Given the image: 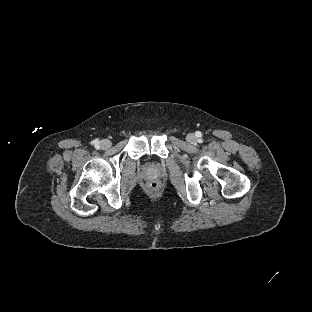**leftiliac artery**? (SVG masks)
<instances>
[{"label":"left iliac artery","instance_id":"44dca946","mask_svg":"<svg viewBox=\"0 0 312 312\" xmlns=\"http://www.w3.org/2000/svg\"><path fill=\"white\" fill-rule=\"evenodd\" d=\"M196 135L201 136V132H197V134H196Z\"/></svg>","mask_w":312,"mask_h":312}]
</instances>
